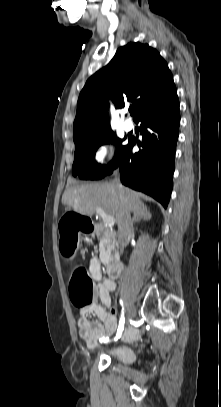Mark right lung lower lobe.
Instances as JSON below:
<instances>
[{
	"instance_id": "right-lung-lower-lobe-1",
	"label": "right lung lower lobe",
	"mask_w": 221,
	"mask_h": 407,
	"mask_svg": "<svg viewBox=\"0 0 221 407\" xmlns=\"http://www.w3.org/2000/svg\"><path fill=\"white\" fill-rule=\"evenodd\" d=\"M134 121L141 122L142 140L135 143V140L129 139L120 160L105 176L119 167L124 185L151 195L166 208L173 186L179 136L180 113L176 87L140 112ZM135 144L141 147L136 153L132 151Z\"/></svg>"
}]
</instances>
